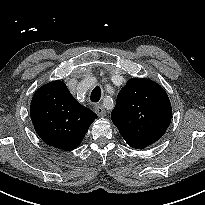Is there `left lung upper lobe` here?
Masks as SVG:
<instances>
[{
    "instance_id": "obj_1",
    "label": "left lung upper lobe",
    "mask_w": 205,
    "mask_h": 205,
    "mask_svg": "<svg viewBox=\"0 0 205 205\" xmlns=\"http://www.w3.org/2000/svg\"><path fill=\"white\" fill-rule=\"evenodd\" d=\"M166 92L149 79H130L120 90L111 119L124 139L144 146L158 141L170 125Z\"/></svg>"
}]
</instances>
